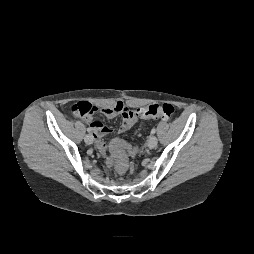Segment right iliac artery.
Returning a JSON list of instances; mask_svg holds the SVG:
<instances>
[{"label":"right iliac artery","mask_w":254,"mask_h":254,"mask_svg":"<svg viewBox=\"0 0 254 254\" xmlns=\"http://www.w3.org/2000/svg\"><path fill=\"white\" fill-rule=\"evenodd\" d=\"M87 131H88V132H91V128H87Z\"/></svg>","instance_id":"82829eb1"}]
</instances>
